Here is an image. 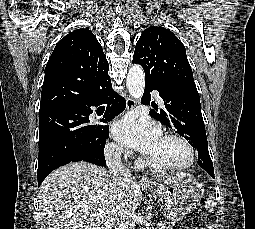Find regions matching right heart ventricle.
<instances>
[{"label": "right heart ventricle", "instance_id": "obj_1", "mask_svg": "<svg viewBox=\"0 0 255 229\" xmlns=\"http://www.w3.org/2000/svg\"><path fill=\"white\" fill-rule=\"evenodd\" d=\"M139 165H140V166H142L143 164H142V163H140Z\"/></svg>", "mask_w": 255, "mask_h": 229}]
</instances>
